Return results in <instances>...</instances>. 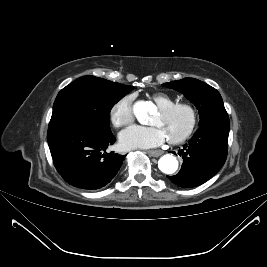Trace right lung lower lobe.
<instances>
[{
  "mask_svg": "<svg viewBox=\"0 0 267 267\" xmlns=\"http://www.w3.org/2000/svg\"><path fill=\"white\" fill-rule=\"evenodd\" d=\"M47 140L59 174L70 185L82 189L106 186L125 157L106 151L116 141L111 130L84 123L68 122L48 129Z\"/></svg>",
  "mask_w": 267,
  "mask_h": 267,
  "instance_id": "right-lung-lower-lobe-1",
  "label": "right lung lower lobe"
}]
</instances>
